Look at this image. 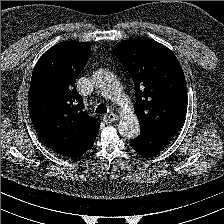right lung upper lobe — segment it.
<instances>
[{"label":"right lung upper lobe","instance_id":"right-lung-upper-lobe-1","mask_svg":"<svg viewBox=\"0 0 224 224\" xmlns=\"http://www.w3.org/2000/svg\"><path fill=\"white\" fill-rule=\"evenodd\" d=\"M91 52L87 42L66 41L46 51L32 73L28 109L36 131L56 153L69 158L96 139L100 123L83 110L75 81Z\"/></svg>","mask_w":224,"mask_h":224}]
</instances>
